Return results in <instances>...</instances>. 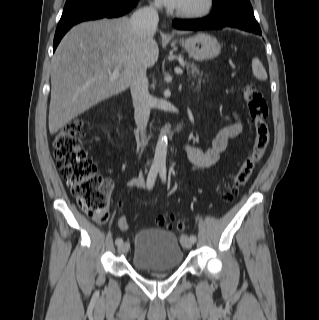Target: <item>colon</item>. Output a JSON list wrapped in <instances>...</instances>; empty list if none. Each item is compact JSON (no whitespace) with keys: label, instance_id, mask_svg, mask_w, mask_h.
Instances as JSON below:
<instances>
[{"label":"colon","instance_id":"obj_1","mask_svg":"<svg viewBox=\"0 0 319 320\" xmlns=\"http://www.w3.org/2000/svg\"><path fill=\"white\" fill-rule=\"evenodd\" d=\"M243 97L249 110L254 138L249 153L225 185L223 198L227 202L233 201L238 190L248 182L255 167L262 160L270 140L268 107L262 92L253 83H249L244 88ZM82 127L83 123L75 120L66 124L55 135V158L60 173L80 208L94 221L106 223L109 218L111 184L98 172L96 165L83 149ZM155 222L160 227H169L176 219L173 215L168 219L158 216ZM119 227L128 230L129 224L124 217L119 219ZM177 228L182 230L184 224L178 222Z\"/></svg>","mask_w":319,"mask_h":320}]
</instances>
